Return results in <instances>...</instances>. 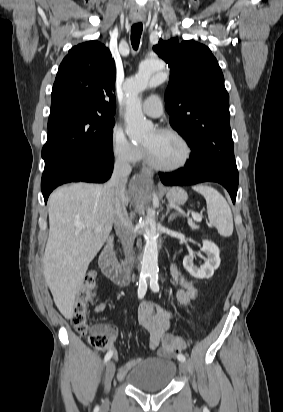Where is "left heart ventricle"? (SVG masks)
Masks as SVG:
<instances>
[{"label": "left heart ventricle", "mask_w": 283, "mask_h": 412, "mask_svg": "<svg viewBox=\"0 0 283 412\" xmlns=\"http://www.w3.org/2000/svg\"><path fill=\"white\" fill-rule=\"evenodd\" d=\"M152 159L162 166H173L180 163L185 151L182 143L170 134L152 131L143 141Z\"/></svg>", "instance_id": "1"}]
</instances>
